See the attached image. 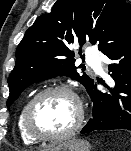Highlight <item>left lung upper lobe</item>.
Masks as SVG:
<instances>
[{"label": "left lung upper lobe", "mask_w": 131, "mask_h": 151, "mask_svg": "<svg viewBox=\"0 0 131 151\" xmlns=\"http://www.w3.org/2000/svg\"><path fill=\"white\" fill-rule=\"evenodd\" d=\"M130 37L131 10L125 0H57L51 13L39 16L17 47L7 107L29 85L56 76L76 79L88 91L94 80L77 73L72 44L90 42L106 54Z\"/></svg>", "instance_id": "obj_1"}]
</instances>
